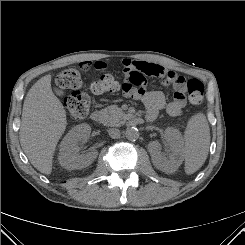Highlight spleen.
Masks as SVG:
<instances>
[{"mask_svg": "<svg viewBox=\"0 0 245 245\" xmlns=\"http://www.w3.org/2000/svg\"><path fill=\"white\" fill-rule=\"evenodd\" d=\"M185 172L193 174L205 162L210 144V130L203 113L192 116L184 133Z\"/></svg>", "mask_w": 245, "mask_h": 245, "instance_id": "spleen-1", "label": "spleen"}]
</instances>
